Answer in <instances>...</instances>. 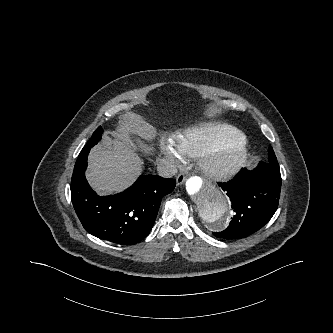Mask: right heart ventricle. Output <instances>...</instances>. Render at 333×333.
Listing matches in <instances>:
<instances>
[{
  "mask_svg": "<svg viewBox=\"0 0 333 333\" xmlns=\"http://www.w3.org/2000/svg\"><path fill=\"white\" fill-rule=\"evenodd\" d=\"M226 139H246L237 128L209 123L186 129L174 136V143L184 158H198L215 143Z\"/></svg>",
  "mask_w": 333,
  "mask_h": 333,
  "instance_id": "obj_1",
  "label": "right heart ventricle"
}]
</instances>
